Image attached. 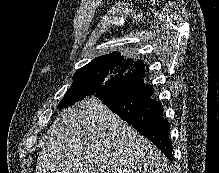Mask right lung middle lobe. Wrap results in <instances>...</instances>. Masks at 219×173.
<instances>
[{
    "label": "right lung middle lobe",
    "instance_id": "dd1d6c3e",
    "mask_svg": "<svg viewBox=\"0 0 219 173\" xmlns=\"http://www.w3.org/2000/svg\"><path fill=\"white\" fill-rule=\"evenodd\" d=\"M134 71L129 65L116 61L99 66H84L74 74L73 83L57 108L71 106L91 94L113 92Z\"/></svg>",
    "mask_w": 219,
    "mask_h": 173
}]
</instances>
